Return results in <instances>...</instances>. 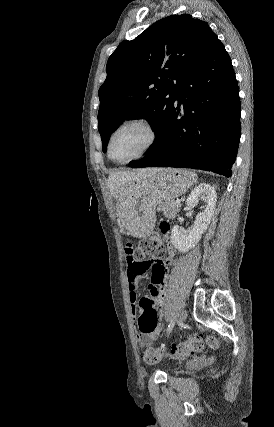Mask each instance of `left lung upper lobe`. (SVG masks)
Masks as SVG:
<instances>
[{"label": "left lung upper lobe", "instance_id": "obj_1", "mask_svg": "<svg viewBox=\"0 0 274 427\" xmlns=\"http://www.w3.org/2000/svg\"><path fill=\"white\" fill-rule=\"evenodd\" d=\"M215 36L207 22L182 14L163 18L134 40L119 44L108 59L107 78L99 89L98 126L104 152L111 134L126 118L145 117L158 137L181 79Z\"/></svg>", "mask_w": 274, "mask_h": 427}]
</instances>
